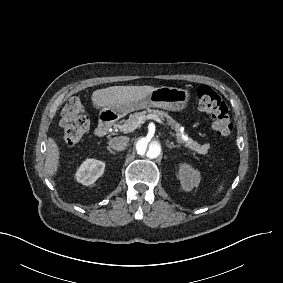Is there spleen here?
Segmentation results:
<instances>
[{
  "label": "spleen",
  "mask_w": 283,
  "mask_h": 283,
  "mask_svg": "<svg viewBox=\"0 0 283 283\" xmlns=\"http://www.w3.org/2000/svg\"><path fill=\"white\" fill-rule=\"evenodd\" d=\"M227 182L226 179H222L218 182L217 188L211 193L210 197L211 198H216L218 197L221 193H223L224 188H225V183Z\"/></svg>",
  "instance_id": "obj_1"
}]
</instances>
